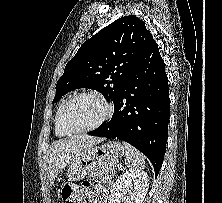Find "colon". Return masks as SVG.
Instances as JSON below:
<instances>
[{"mask_svg":"<svg viewBox=\"0 0 222 203\" xmlns=\"http://www.w3.org/2000/svg\"><path fill=\"white\" fill-rule=\"evenodd\" d=\"M59 195L66 203H73L74 189L67 184L61 189Z\"/></svg>","mask_w":222,"mask_h":203,"instance_id":"1","label":"colon"}]
</instances>
